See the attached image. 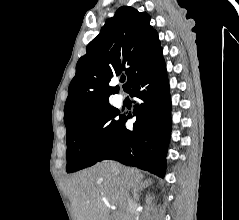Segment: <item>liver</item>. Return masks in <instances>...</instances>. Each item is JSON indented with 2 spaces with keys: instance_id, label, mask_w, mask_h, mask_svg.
<instances>
[{
  "instance_id": "liver-1",
  "label": "liver",
  "mask_w": 239,
  "mask_h": 220,
  "mask_svg": "<svg viewBox=\"0 0 239 220\" xmlns=\"http://www.w3.org/2000/svg\"><path fill=\"white\" fill-rule=\"evenodd\" d=\"M111 162L97 163L68 179L67 192L75 220H110L108 205L125 214L124 194L135 189L143 175L139 170Z\"/></svg>"
}]
</instances>
